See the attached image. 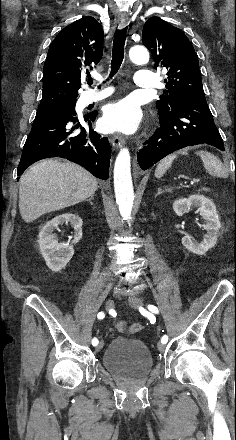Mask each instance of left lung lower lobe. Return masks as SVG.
<instances>
[{
    "instance_id": "left-lung-lower-lobe-1",
    "label": "left lung lower lobe",
    "mask_w": 236,
    "mask_h": 440,
    "mask_svg": "<svg viewBox=\"0 0 236 440\" xmlns=\"http://www.w3.org/2000/svg\"><path fill=\"white\" fill-rule=\"evenodd\" d=\"M159 121L160 127L137 154L142 170L186 146L205 143L225 150L205 96L184 99L170 115L159 116Z\"/></svg>"
}]
</instances>
